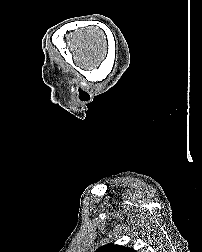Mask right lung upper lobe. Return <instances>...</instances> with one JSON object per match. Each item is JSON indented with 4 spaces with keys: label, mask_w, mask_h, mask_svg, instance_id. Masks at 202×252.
<instances>
[{
    "label": "right lung upper lobe",
    "mask_w": 202,
    "mask_h": 252,
    "mask_svg": "<svg viewBox=\"0 0 202 252\" xmlns=\"http://www.w3.org/2000/svg\"><path fill=\"white\" fill-rule=\"evenodd\" d=\"M96 252H136L132 248L125 249L123 246L108 244L96 250Z\"/></svg>",
    "instance_id": "right-lung-upper-lobe-1"
}]
</instances>
